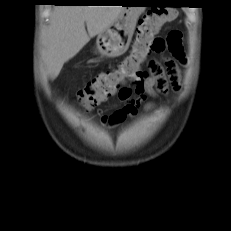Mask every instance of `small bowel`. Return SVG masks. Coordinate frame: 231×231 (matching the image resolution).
Returning a JSON list of instances; mask_svg holds the SVG:
<instances>
[{"mask_svg":"<svg viewBox=\"0 0 231 231\" xmlns=\"http://www.w3.org/2000/svg\"><path fill=\"white\" fill-rule=\"evenodd\" d=\"M171 58L161 65L155 60L150 61L146 77L141 81L130 82L124 85L117 93L123 106L109 116H103L102 121L110 125L121 123L128 117L137 114L139 107L148 96L165 93L171 85L174 90L179 89L180 70L178 64L185 63V54L182 47V36L179 31H171L164 40ZM151 105L147 104L149 108Z\"/></svg>","mask_w":231,"mask_h":231,"instance_id":"obj_1","label":"small bowel"}]
</instances>
